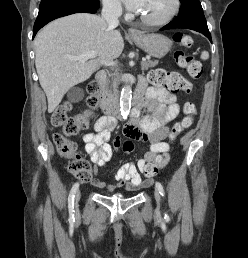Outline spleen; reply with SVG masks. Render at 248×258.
I'll use <instances>...</instances> for the list:
<instances>
[{"mask_svg": "<svg viewBox=\"0 0 248 258\" xmlns=\"http://www.w3.org/2000/svg\"><path fill=\"white\" fill-rule=\"evenodd\" d=\"M209 58V53L207 51H203L201 53V59L202 60H207Z\"/></svg>", "mask_w": 248, "mask_h": 258, "instance_id": "obj_1", "label": "spleen"}]
</instances>
